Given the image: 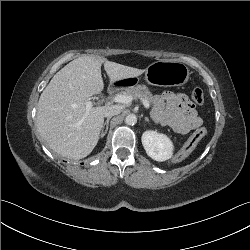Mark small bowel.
I'll list each match as a JSON object with an SVG mask.
<instances>
[{"label": "small bowel", "mask_w": 250, "mask_h": 250, "mask_svg": "<svg viewBox=\"0 0 250 250\" xmlns=\"http://www.w3.org/2000/svg\"><path fill=\"white\" fill-rule=\"evenodd\" d=\"M152 117L157 123L169 126L179 134H186L202 124V119L188 97L171 91L155 98Z\"/></svg>", "instance_id": "small-bowel-1"}]
</instances>
